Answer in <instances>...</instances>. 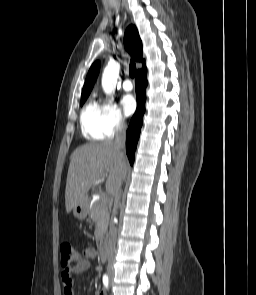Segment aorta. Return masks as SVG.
Wrapping results in <instances>:
<instances>
[{"label":"aorta","mask_w":256,"mask_h":295,"mask_svg":"<svg viewBox=\"0 0 256 295\" xmlns=\"http://www.w3.org/2000/svg\"><path fill=\"white\" fill-rule=\"evenodd\" d=\"M120 64L115 61H110L104 69L102 75V88L106 94H112L115 90Z\"/></svg>","instance_id":"obj_1"}]
</instances>
